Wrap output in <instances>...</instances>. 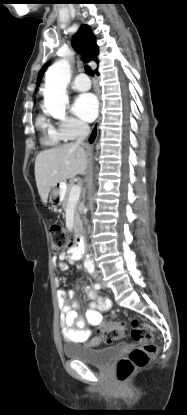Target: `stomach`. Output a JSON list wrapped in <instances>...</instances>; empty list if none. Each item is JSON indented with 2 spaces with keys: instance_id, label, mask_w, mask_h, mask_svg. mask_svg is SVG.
<instances>
[{
  "instance_id": "0dacf381",
  "label": "stomach",
  "mask_w": 187,
  "mask_h": 415,
  "mask_svg": "<svg viewBox=\"0 0 187 415\" xmlns=\"http://www.w3.org/2000/svg\"><path fill=\"white\" fill-rule=\"evenodd\" d=\"M50 199L49 202L52 205V207H58L60 204V196L62 194V184H56L53 186L50 190Z\"/></svg>"
}]
</instances>
